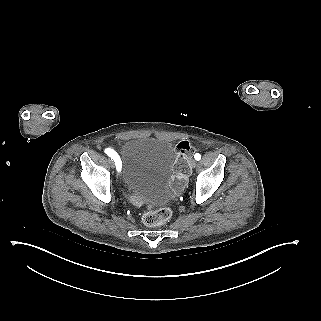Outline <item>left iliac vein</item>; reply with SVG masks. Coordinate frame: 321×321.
<instances>
[{
	"label": "left iliac vein",
	"mask_w": 321,
	"mask_h": 321,
	"mask_svg": "<svg viewBox=\"0 0 321 321\" xmlns=\"http://www.w3.org/2000/svg\"><path fill=\"white\" fill-rule=\"evenodd\" d=\"M190 165H191V167L195 168L197 166V161L195 159H192L190 161Z\"/></svg>",
	"instance_id": "obj_1"
}]
</instances>
